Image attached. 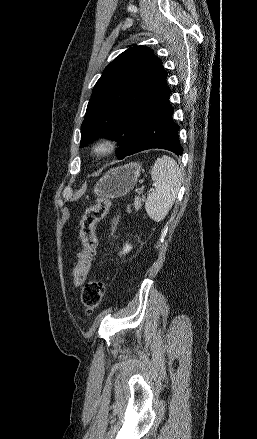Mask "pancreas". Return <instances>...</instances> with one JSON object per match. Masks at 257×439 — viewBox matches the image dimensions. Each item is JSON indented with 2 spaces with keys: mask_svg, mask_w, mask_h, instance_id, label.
<instances>
[{
  "mask_svg": "<svg viewBox=\"0 0 257 439\" xmlns=\"http://www.w3.org/2000/svg\"><path fill=\"white\" fill-rule=\"evenodd\" d=\"M145 201V197L142 196V198H140L137 202H139V204L141 205L142 202ZM128 211H130V208L128 207Z\"/></svg>",
  "mask_w": 257,
  "mask_h": 439,
  "instance_id": "1",
  "label": "pancreas"
}]
</instances>
